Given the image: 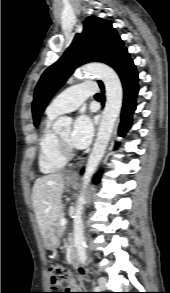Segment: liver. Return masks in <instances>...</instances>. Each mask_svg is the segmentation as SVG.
Returning <instances> with one entry per match:
<instances>
[{
	"label": "liver",
	"mask_w": 170,
	"mask_h": 293,
	"mask_svg": "<svg viewBox=\"0 0 170 293\" xmlns=\"http://www.w3.org/2000/svg\"><path fill=\"white\" fill-rule=\"evenodd\" d=\"M64 189L62 173L48 174L38 178L32 189V201L42 236L48 232L61 210Z\"/></svg>",
	"instance_id": "liver-1"
}]
</instances>
